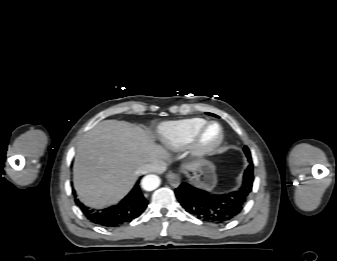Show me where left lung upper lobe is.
<instances>
[{
  "mask_svg": "<svg viewBox=\"0 0 337 261\" xmlns=\"http://www.w3.org/2000/svg\"><path fill=\"white\" fill-rule=\"evenodd\" d=\"M244 152H245L246 156L248 157V161L250 162V165L248 167H250V166L253 167L251 154H250L249 149L246 146L244 147Z\"/></svg>",
  "mask_w": 337,
  "mask_h": 261,
  "instance_id": "obj_1",
  "label": "left lung upper lobe"
}]
</instances>
